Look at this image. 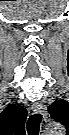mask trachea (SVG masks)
Returning <instances> with one entry per match:
<instances>
[{
  "instance_id": "3493384b",
  "label": "trachea",
  "mask_w": 69,
  "mask_h": 135,
  "mask_svg": "<svg viewBox=\"0 0 69 135\" xmlns=\"http://www.w3.org/2000/svg\"><path fill=\"white\" fill-rule=\"evenodd\" d=\"M42 115L37 113L29 117L27 121V131L29 135H38L40 131V124Z\"/></svg>"
}]
</instances>
